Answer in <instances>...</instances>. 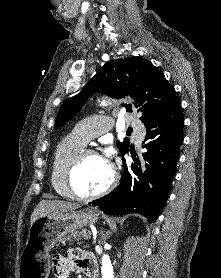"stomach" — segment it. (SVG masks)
<instances>
[{
    "mask_svg": "<svg viewBox=\"0 0 221 278\" xmlns=\"http://www.w3.org/2000/svg\"><path fill=\"white\" fill-rule=\"evenodd\" d=\"M98 217L97 211L86 208L36 219L22 252L20 278H50L49 250L68 233L96 223Z\"/></svg>",
    "mask_w": 221,
    "mask_h": 278,
    "instance_id": "1",
    "label": "stomach"
}]
</instances>
